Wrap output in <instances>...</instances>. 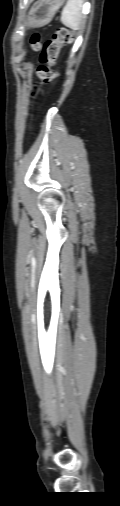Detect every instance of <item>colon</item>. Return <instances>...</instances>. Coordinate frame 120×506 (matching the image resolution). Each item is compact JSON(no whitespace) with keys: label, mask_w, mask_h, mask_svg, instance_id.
Instances as JSON below:
<instances>
[{"label":"colon","mask_w":120,"mask_h":506,"mask_svg":"<svg viewBox=\"0 0 120 506\" xmlns=\"http://www.w3.org/2000/svg\"><path fill=\"white\" fill-rule=\"evenodd\" d=\"M72 41L73 34L66 29L57 30L52 38L46 40L43 44H41L39 34L35 33L32 36V46L41 50L40 66L38 68V77L41 83H50L56 78L57 72L53 69V66L56 63L60 49L69 45ZM37 93L38 90L36 89L34 94Z\"/></svg>","instance_id":"1"}]
</instances>
